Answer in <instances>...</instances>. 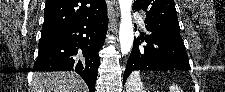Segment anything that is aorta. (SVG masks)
Instances as JSON below:
<instances>
[{"label": "aorta", "mask_w": 225, "mask_h": 92, "mask_svg": "<svg viewBox=\"0 0 225 92\" xmlns=\"http://www.w3.org/2000/svg\"><path fill=\"white\" fill-rule=\"evenodd\" d=\"M132 0H119L121 21L119 29V41L121 53L126 55L130 52L133 45V23H132Z\"/></svg>", "instance_id": "aorta-1"}]
</instances>
